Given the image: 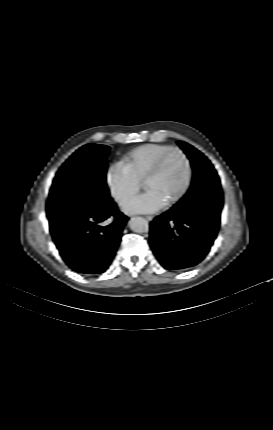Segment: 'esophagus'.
I'll list each match as a JSON object with an SVG mask.
<instances>
[{
	"label": "esophagus",
	"mask_w": 273,
	"mask_h": 430,
	"mask_svg": "<svg viewBox=\"0 0 273 430\" xmlns=\"http://www.w3.org/2000/svg\"><path fill=\"white\" fill-rule=\"evenodd\" d=\"M145 218H146V220H148V221H152V220H153V216H146Z\"/></svg>",
	"instance_id": "obj_1"
}]
</instances>
